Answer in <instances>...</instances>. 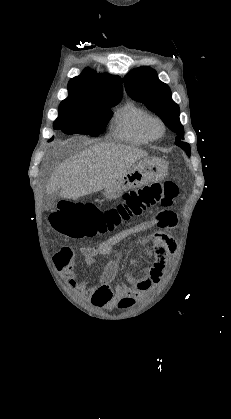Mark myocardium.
<instances>
[{"mask_svg":"<svg viewBox=\"0 0 231 419\" xmlns=\"http://www.w3.org/2000/svg\"><path fill=\"white\" fill-rule=\"evenodd\" d=\"M146 130L152 139H156L164 135L166 126L160 117L150 116L146 121Z\"/></svg>","mask_w":231,"mask_h":419,"instance_id":"obj_1","label":"myocardium"}]
</instances>
